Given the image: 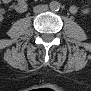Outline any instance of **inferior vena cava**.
<instances>
[{
	"instance_id": "1",
	"label": "inferior vena cava",
	"mask_w": 91,
	"mask_h": 91,
	"mask_svg": "<svg viewBox=\"0 0 91 91\" xmlns=\"http://www.w3.org/2000/svg\"><path fill=\"white\" fill-rule=\"evenodd\" d=\"M47 9H48L47 5H37L34 7L33 10L35 13H41V12L47 11Z\"/></svg>"
}]
</instances>
